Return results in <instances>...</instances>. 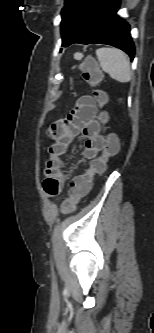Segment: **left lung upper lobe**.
Returning a JSON list of instances; mask_svg holds the SVG:
<instances>
[{
  "mask_svg": "<svg viewBox=\"0 0 154 333\" xmlns=\"http://www.w3.org/2000/svg\"><path fill=\"white\" fill-rule=\"evenodd\" d=\"M98 0H65L61 16L62 46L75 34L83 17Z\"/></svg>",
  "mask_w": 154,
  "mask_h": 333,
  "instance_id": "left-lung-upper-lobe-1",
  "label": "left lung upper lobe"
}]
</instances>
